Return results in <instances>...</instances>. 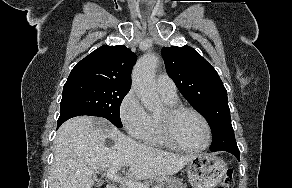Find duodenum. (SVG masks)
Masks as SVG:
<instances>
[{"instance_id": "410a0bca", "label": "duodenum", "mask_w": 292, "mask_h": 188, "mask_svg": "<svg viewBox=\"0 0 292 188\" xmlns=\"http://www.w3.org/2000/svg\"><path fill=\"white\" fill-rule=\"evenodd\" d=\"M106 188H117V187L114 185H108Z\"/></svg>"}]
</instances>
